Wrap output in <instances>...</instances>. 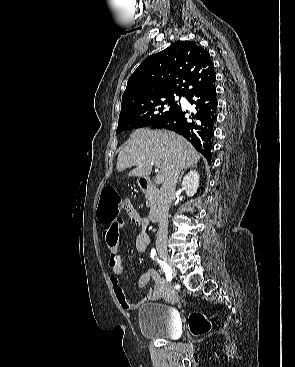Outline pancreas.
Masks as SVG:
<instances>
[{
    "label": "pancreas",
    "instance_id": "pancreas-1",
    "mask_svg": "<svg viewBox=\"0 0 295 367\" xmlns=\"http://www.w3.org/2000/svg\"><path fill=\"white\" fill-rule=\"evenodd\" d=\"M146 200V206L152 208L157 202V195L155 193L148 192L146 193Z\"/></svg>",
    "mask_w": 295,
    "mask_h": 367
}]
</instances>
